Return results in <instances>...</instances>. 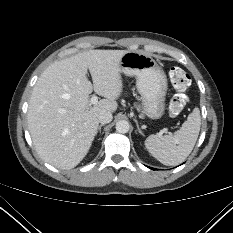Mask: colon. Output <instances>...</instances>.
Masks as SVG:
<instances>
[{
	"label": "colon",
	"mask_w": 233,
	"mask_h": 233,
	"mask_svg": "<svg viewBox=\"0 0 233 233\" xmlns=\"http://www.w3.org/2000/svg\"><path fill=\"white\" fill-rule=\"evenodd\" d=\"M169 79L174 89L177 91L170 100L169 111L172 115L176 116L179 115L187 105L188 97L185 92L191 85V78L184 69L174 66L169 70Z\"/></svg>",
	"instance_id": "obj_1"
}]
</instances>
